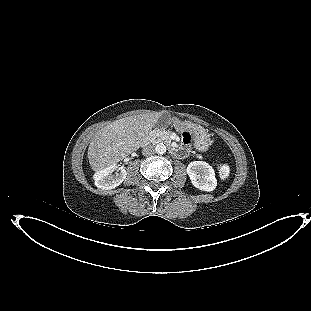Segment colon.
Returning a JSON list of instances; mask_svg holds the SVG:
<instances>
[{"label": "colon", "instance_id": "colon-1", "mask_svg": "<svg viewBox=\"0 0 311 311\" xmlns=\"http://www.w3.org/2000/svg\"><path fill=\"white\" fill-rule=\"evenodd\" d=\"M189 139V136H186V140ZM230 174V169L226 164H221L218 167V175L220 179L224 180L226 179Z\"/></svg>", "mask_w": 311, "mask_h": 311}]
</instances>
